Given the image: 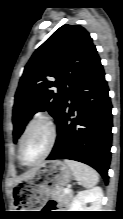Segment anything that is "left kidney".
Returning a JSON list of instances; mask_svg holds the SVG:
<instances>
[{"instance_id": "obj_1", "label": "left kidney", "mask_w": 123, "mask_h": 219, "mask_svg": "<svg viewBox=\"0 0 123 219\" xmlns=\"http://www.w3.org/2000/svg\"><path fill=\"white\" fill-rule=\"evenodd\" d=\"M103 191L100 187L79 192L71 203V211H101ZM91 206L87 207L86 204Z\"/></svg>"}]
</instances>
